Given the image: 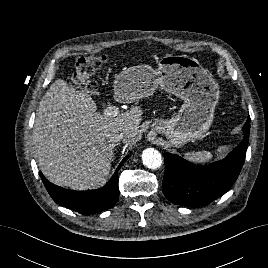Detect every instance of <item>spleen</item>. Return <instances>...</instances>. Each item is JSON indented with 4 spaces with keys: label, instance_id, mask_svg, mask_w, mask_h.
Segmentation results:
<instances>
[{
    "label": "spleen",
    "instance_id": "3e777b00",
    "mask_svg": "<svg viewBox=\"0 0 268 268\" xmlns=\"http://www.w3.org/2000/svg\"><path fill=\"white\" fill-rule=\"evenodd\" d=\"M184 157L193 163H206L212 159L213 154L208 151L187 152Z\"/></svg>",
    "mask_w": 268,
    "mask_h": 268
}]
</instances>
